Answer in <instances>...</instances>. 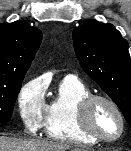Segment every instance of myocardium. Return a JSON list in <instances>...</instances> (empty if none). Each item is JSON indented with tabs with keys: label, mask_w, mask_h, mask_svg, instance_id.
I'll return each instance as SVG.
<instances>
[{
	"label": "myocardium",
	"mask_w": 131,
	"mask_h": 151,
	"mask_svg": "<svg viewBox=\"0 0 131 151\" xmlns=\"http://www.w3.org/2000/svg\"><path fill=\"white\" fill-rule=\"evenodd\" d=\"M98 103L109 105L118 116L120 121V131L117 136L111 138L105 137L100 135L94 129L92 124V114L95 106ZM77 120L78 125L84 134L96 140L97 142L103 143H113L118 141L123 136L126 128L125 117L119 105L110 97L100 94H89L80 101L78 106Z\"/></svg>",
	"instance_id": "f54148a6"
}]
</instances>
